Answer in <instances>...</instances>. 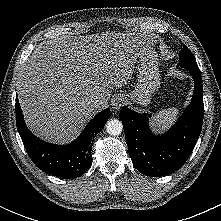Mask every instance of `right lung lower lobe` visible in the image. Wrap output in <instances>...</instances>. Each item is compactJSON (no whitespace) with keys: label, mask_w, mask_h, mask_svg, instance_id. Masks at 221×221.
Instances as JSON below:
<instances>
[{"label":"right lung lower lobe","mask_w":221,"mask_h":221,"mask_svg":"<svg viewBox=\"0 0 221 221\" xmlns=\"http://www.w3.org/2000/svg\"><path fill=\"white\" fill-rule=\"evenodd\" d=\"M15 111L18 132L33 163L40 170L60 178H75L89 170L92 143L110 117L107 108L98 113L71 144L55 145L40 140L27 129L17 96Z\"/></svg>","instance_id":"1"}]
</instances>
